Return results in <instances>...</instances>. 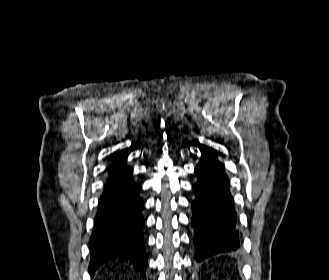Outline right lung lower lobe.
<instances>
[{"instance_id": "1", "label": "right lung lower lobe", "mask_w": 329, "mask_h": 280, "mask_svg": "<svg viewBox=\"0 0 329 280\" xmlns=\"http://www.w3.org/2000/svg\"><path fill=\"white\" fill-rule=\"evenodd\" d=\"M125 161H115L108 170V181L91 236V277L102 263L120 260L134 265L146 278L144 220L141 215L143 202L139 196L140 186L132 180V172Z\"/></svg>"}]
</instances>
